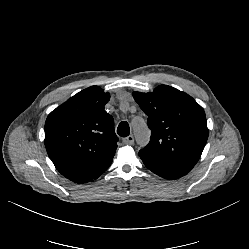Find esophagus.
Listing matches in <instances>:
<instances>
[{"label":"esophagus","instance_id":"esophagus-1","mask_svg":"<svg viewBox=\"0 0 249 249\" xmlns=\"http://www.w3.org/2000/svg\"><path fill=\"white\" fill-rule=\"evenodd\" d=\"M122 142L125 145L131 146V145L134 144L135 140H134V137L132 135H130V136H127V137L123 138Z\"/></svg>","mask_w":249,"mask_h":249}]
</instances>
